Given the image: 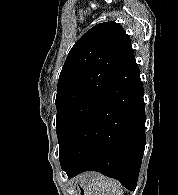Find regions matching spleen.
<instances>
[{
	"label": "spleen",
	"instance_id": "1",
	"mask_svg": "<svg viewBox=\"0 0 178 195\" xmlns=\"http://www.w3.org/2000/svg\"><path fill=\"white\" fill-rule=\"evenodd\" d=\"M80 185L87 195H123L121 185L98 173H89L81 177Z\"/></svg>",
	"mask_w": 178,
	"mask_h": 195
}]
</instances>
